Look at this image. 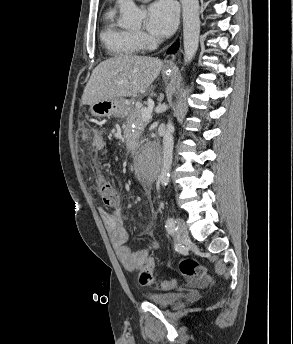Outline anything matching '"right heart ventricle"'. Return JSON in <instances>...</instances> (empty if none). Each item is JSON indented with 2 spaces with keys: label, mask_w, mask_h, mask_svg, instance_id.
Here are the masks:
<instances>
[{
  "label": "right heart ventricle",
  "mask_w": 293,
  "mask_h": 344,
  "mask_svg": "<svg viewBox=\"0 0 293 344\" xmlns=\"http://www.w3.org/2000/svg\"><path fill=\"white\" fill-rule=\"evenodd\" d=\"M115 10L108 8L103 15L101 40L107 50L115 56H136L141 47L137 44L134 32L121 27L115 19Z\"/></svg>",
  "instance_id": "1"
}]
</instances>
